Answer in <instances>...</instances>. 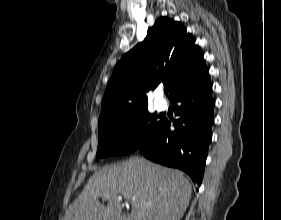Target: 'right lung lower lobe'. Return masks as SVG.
Here are the masks:
<instances>
[{
    "mask_svg": "<svg viewBox=\"0 0 281 220\" xmlns=\"http://www.w3.org/2000/svg\"><path fill=\"white\" fill-rule=\"evenodd\" d=\"M180 118L170 131L167 120L145 141L139 150L147 159L186 172L197 185L204 175L208 146L214 123L212 84L210 80L195 87L179 91L171 98Z\"/></svg>",
    "mask_w": 281,
    "mask_h": 220,
    "instance_id": "obj_1",
    "label": "right lung lower lobe"
}]
</instances>
